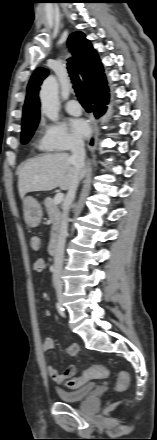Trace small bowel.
<instances>
[{"label":"small bowel","mask_w":157,"mask_h":440,"mask_svg":"<svg viewBox=\"0 0 157 440\" xmlns=\"http://www.w3.org/2000/svg\"><path fill=\"white\" fill-rule=\"evenodd\" d=\"M35 269V268H34ZM37 272H41L42 270H37L35 269ZM44 270V269H43ZM45 316H50L51 313L49 310H46L44 312ZM54 347V340L51 337H47L43 340L42 342V350L43 352H49L53 349ZM66 353L69 356H75L78 353V346L76 344H70L67 348H66ZM47 371L49 376L58 384H63L64 381L69 378L72 377L76 374L77 372V368L75 365H70L63 373H59L57 371V369L52 366V365H48L47 366Z\"/></svg>","instance_id":"small-bowel-1"}]
</instances>
